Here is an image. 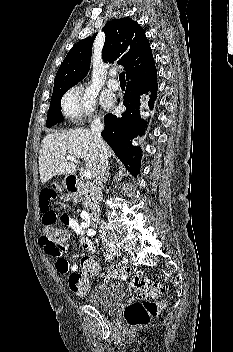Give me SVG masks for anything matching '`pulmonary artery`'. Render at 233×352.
Returning <instances> with one entry per match:
<instances>
[{
	"mask_svg": "<svg viewBox=\"0 0 233 352\" xmlns=\"http://www.w3.org/2000/svg\"><path fill=\"white\" fill-rule=\"evenodd\" d=\"M110 75L112 76V77H114L115 75H116V72L115 71H111V73H110ZM119 82L116 80V79H114V78H111V79H109V81H108V87L110 88V89H112V90H117L118 88H119Z\"/></svg>",
	"mask_w": 233,
	"mask_h": 352,
	"instance_id": "1",
	"label": "pulmonary artery"
}]
</instances>
